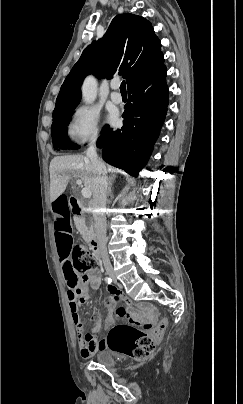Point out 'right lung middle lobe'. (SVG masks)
Listing matches in <instances>:
<instances>
[{
	"label": "right lung middle lobe",
	"instance_id": "obj_1",
	"mask_svg": "<svg viewBox=\"0 0 243 404\" xmlns=\"http://www.w3.org/2000/svg\"><path fill=\"white\" fill-rule=\"evenodd\" d=\"M73 108L61 110L55 114H53V123L51 127V134L53 140L54 149L57 150L58 148L63 149H78L80 146L76 144H72L68 141L67 138V125L69 120L73 114Z\"/></svg>",
	"mask_w": 243,
	"mask_h": 404
}]
</instances>
